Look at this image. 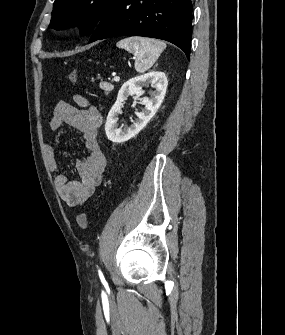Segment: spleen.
Listing matches in <instances>:
<instances>
[{
	"label": "spleen",
	"mask_w": 285,
	"mask_h": 335,
	"mask_svg": "<svg viewBox=\"0 0 285 335\" xmlns=\"http://www.w3.org/2000/svg\"><path fill=\"white\" fill-rule=\"evenodd\" d=\"M117 48H123L130 54H135V70L139 74H143L149 70L156 60H158L161 52L165 50L166 44L153 40V38H139V36H132V38H125L116 44Z\"/></svg>",
	"instance_id": "3e777b00"
}]
</instances>
